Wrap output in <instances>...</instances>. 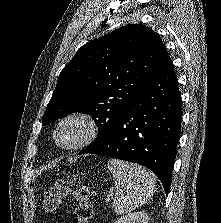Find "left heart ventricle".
<instances>
[{"label":"left heart ventricle","instance_id":"1","mask_svg":"<svg viewBox=\"0 0 221 223\" xmlns=\"http://www.w3.org/2000/svg\"><path fill=\"white\" fill-rule=\"evenodd\" d=\"M82 134V128L77 122L65 124L58 133L57 139L60 143L68 144L76 141Z\"/></svg>","mask_w":221,"mask_h":223}]
</instances>
